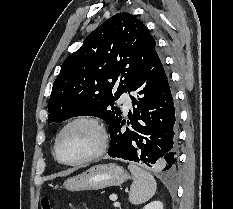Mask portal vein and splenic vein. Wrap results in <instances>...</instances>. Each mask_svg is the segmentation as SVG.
I'll return each mask as SVG.
<instances>
[{"instance_id": "obj_1", "label": "portal vein and splenic vein", "mask_w": 233, "mask_h": 209, "mask_svg": "<svg viewBox=\"0 0 233 209\" xmlns=\"http://www.w3.org/2000/svg\"><path fill=\"white\" fill-rule=\"evenodd\" d=\"M109 198H110L111 201H116L117 200V196L115 194L110 195ZM119 205L120 204L118 202L114 203L115 207H119Z\"/></svg>"}]
</instances>
